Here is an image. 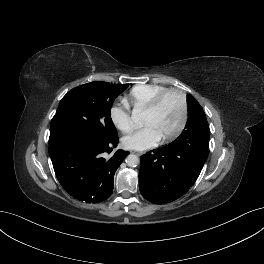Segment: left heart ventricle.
I'll list each match as a JSON object with an SVG mask.
<instances>
[{"label": "left heart ventricle", "instance_id": "1", "mask_svg": "<svg viewBox=\"0 0 264 264\" xmlns=\"http://www.w3.org/2000/svg\"><path fill=\"white\" fill-rule=\"evenodd\" d=\"M180 119L181 104L176 94H169L155 111L143 113V124L153 125L161 137L175 130Z\"/></svg>", "mask_w": 264, "mask_h": 264}]
</instances>
